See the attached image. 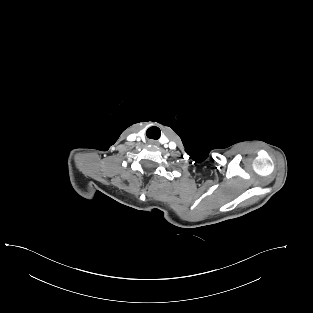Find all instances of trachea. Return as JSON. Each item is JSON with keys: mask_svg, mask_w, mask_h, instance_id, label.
Returning a JSON list of instances; mask_svg holds the SVG:
<instances>
[{"mask_svg": "<svg viewBox=\"0 0 313 313\" xmlns=\"http://www.w3.org/2000/svg\"><path fill=\"white\" fill-rule=\"evenodd\" d=\"M160 134H161V131L158 127H150L147 131H146V135L148 138H151V139H159L160 138Z\"/></svg>", "mask_w": 313, "mask_h": 313, "instance_id": "1", "label": "trachea"}]
</instances>
